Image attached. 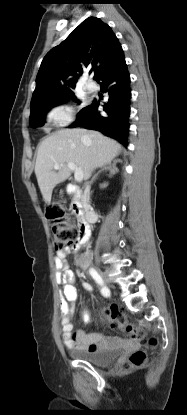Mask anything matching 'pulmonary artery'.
<instances>
[{"mask_svg":"<svg viewBox=\"0 0 187 415\" xmlns=\"http://www.w3.org/2000/svg\"><path fill=\"white\" fill-rule=\"evenodd\" d=\"M84 88L87 92H94L96 90V86L91 82H87Z\"/></svg>","mask_w":187,"mask_h":415,"instance_id":"pulmonary-artery-1","label":"pulmonary artery"}]
</instances>
